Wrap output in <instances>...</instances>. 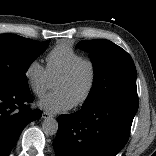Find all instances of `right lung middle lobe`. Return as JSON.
<instances>
[{"mask_svg":"<svg viewBox=\"0 0 156 156\" xmlns=\"http://www.w3.org/2000/svg\"><path fill=\"white\" fill-rule=\"evenodd\" d=\"M48 44V41L40 43L14 34H0V85L29 88L25 73Z\"/></svg>","mask_w":156,"mask_h":156,"instance_id":"obj_1","label":"right lung middle lobe"}]
</instances>
